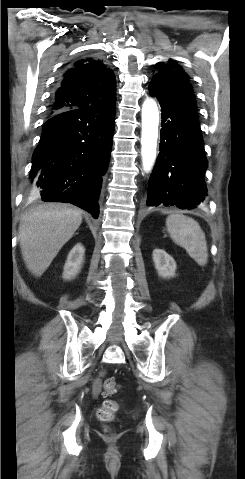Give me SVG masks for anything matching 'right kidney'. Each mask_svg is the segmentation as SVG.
I'll return each instance as SVG.
<instances>
[{"label":"right kidney","instance_id":"ca27d5eb","mask_svg":"<svg viewBox=\"0 0 245 479\" xmlns=\"http://www.w3.org/2000/svg\"><path fill=\"white\" fill-rule=\"evenodd\" d=\"M84 253L85 249L81 243L71 249L64 265L63 278L65 280H71L79 274L84 261Z\"/></svg>","mask_w":245,"mask_h":479}]
</instances>
